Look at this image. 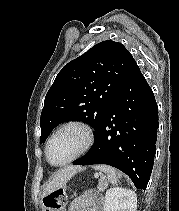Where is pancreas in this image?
<instances>
[{
  "label": "pancreas",
  "instance_id": "1",
  "mask_svg": "<svg viewBox=\"0 0 179 211\" xmlns=\"http://www.w3.org/2000/svg\"><path fill=\"white\" fill-rule=\"evenodd\" d=\"M106 188V183L101 181L98 185L99 192L103 191Z\"/></svg>",
  "mask_w": 179,
  "mask_h": 211
}]
</instances>
